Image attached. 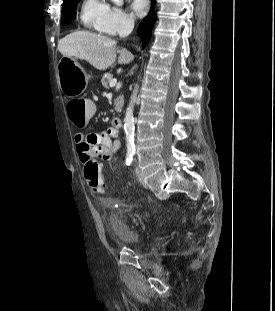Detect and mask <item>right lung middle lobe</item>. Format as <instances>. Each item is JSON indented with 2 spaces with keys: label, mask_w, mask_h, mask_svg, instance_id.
I'll return each mask as SVG.
<instances>
[{
  "label": "right lung middle lobe",
  "mask_w": 275,
  "mask_h": 311,
  "mask_svg": "<svg viewBox=\"0 0 275 311\" xmlns=\"http://www.w3.org/2000/svg\"><path fill=\"white\" fill-rule=\"evenodd\" d=\"M80 0H64L62 23L68 24L76 11V5Z\"/></svg>",
  "instance_id": "1"
}]
</instances>
